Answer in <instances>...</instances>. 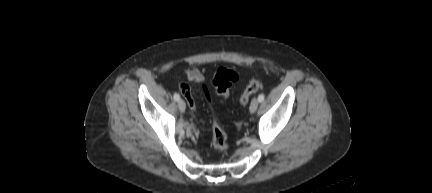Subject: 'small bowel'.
I'll use <instances>...</instances> for the list:
<instances>
[{
    "instance_id": "1",
    "label": "small bowel",
    "mask_w": 432,
    "mask_h": 193,
    "mask_svg": "<svg viewBox=\"0 0 432 193\" xmlns=\"http://www.w3.org/2000/svg\"><path fill=\"white\" fill-rule=\"evenodd\" d=\"M186 78L189 82H191L193 84H199V83L203 82V75H202L201 71L195 67H191L186 71ZM180 90H181L182 94L186 97L190 108L195 109L196 105H195V101L193 99L189 85L186 83H182L180 85Z\"/></svg>"
}]
</instances>
